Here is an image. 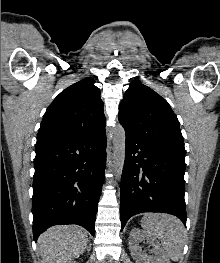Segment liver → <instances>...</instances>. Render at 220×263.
Listing matches in <instances>:
<instances>
[{
	"mask_svg": "<svg viewBox=\"0 0 220 263\" xmlns=\"http://www.w3.org/2000/svg\"><path fill=\"white\" fill-rule=\"evenodd\" d=\"M87 242L86 230L76 225L51 227L38 239L43 263H67L78 258Z\"/></svg>",
	"mask_w": 220,
	"mask_h": 263,
	"instance_id": "6515ba94",
	"label": "liver"
}]
</instances>
